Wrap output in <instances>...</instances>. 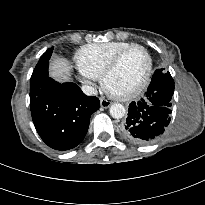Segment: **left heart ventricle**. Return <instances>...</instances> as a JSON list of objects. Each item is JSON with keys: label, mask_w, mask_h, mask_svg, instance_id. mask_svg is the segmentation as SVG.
<instances>
[{"label": "left heart ventricle", "mask_w": 205, "mask_h": 205, "mask_svg": "<svg viewBox=\"0 0 205 205\" xmlns=\"http://www.w3.org/2000/svg\"><path fill=\"white\" fill-rule=\"evenodd\" d=\"M146 68L145 54L139 49H133L123 57L118 67L108 77L106 86L115 94L128 93L142 81Z\"/></svg>", "instance_id": "b2bd125f"}]
</instances>
